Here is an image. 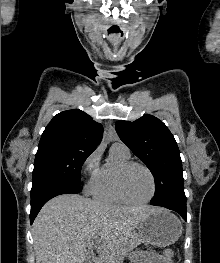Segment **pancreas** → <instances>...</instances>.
I'll list each match as a JSON object with an SVG mask.
<instances>
[{
    "mask_svg": "<svg viewBox=\"0 0 220 263\" xmlns=\"http://www.w3.org/2000/svg\"><path fill=\"white\" fill-rule=\"evenodd\" d=\"M141 242L140 235L137 233L130 234L124 244L120 247L118 250L119 254H125L128 252V250L134 248L136 245H138Z\"/></svg>",
    "mask_w": 220,
    "mask_h": 263,
    "instance_id": "obj_1",
    "label": "pancreas"
}]
</instances>
